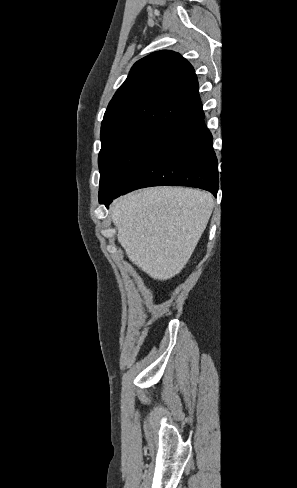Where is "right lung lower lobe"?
Segmentation results:
<instances>
[{"instance_id": "right-lung-lower-lobe-1", "label": "right lung lower lobe", "mask_w": 297, "mask_h": 488, "mask_svg": "<svg viewBox=\"0 0 297 488\" xmlns=\"http://www.w3.org/2000/svg\"><path fill=\"white\" fill-rule=\"evenodd\" d=\"M204 114L172 131L158 146L127 187L104 203L135 189L172 185L197 187L218 192L217 158L212 135L204 124Z\"/></svg>"}]
</instances>
